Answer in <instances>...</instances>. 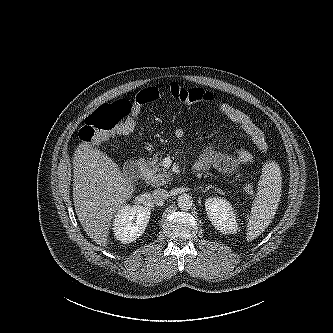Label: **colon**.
Instances as JSON below:
<instances>
[{"label": "colon", "mask_w": 333, "mask_h": 333, "mask_svg": "<svg viewBox=\"0 0 333 333\" xmlns=\"http://www.w3.org/2000/svg\"><path fill=\"white\" fill-rule=\"evenodd\" d=\"M170 93L175 100L188 105L210 103L214 100V95L203 88L184 87L178 83H172ZM159 98V90L149 87L139 91L134 102L121 99L101 105L86 119L79 132L80 139L84 142L99 143L111 134L131 133L135 129L136 118L141 108ZM244 188L249 194L255 191L250 183H246Z\"/></svg>", "instance_id": "5ec220e1"}]
</instances>
